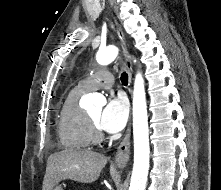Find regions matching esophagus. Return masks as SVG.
Returning <instances> with one entry per match:
<instances>
[{"label":"esophagus","instance_id":"1","mask_svg":"<svg viewBox=\"0 0 221 190\" xmlns=\"http://www.w3.org/2000/svg\"><path fill=\"white\" fill-rule=\"evenodd\" d=\"M117 33H118L119 39L121 41L123 53L126 57V66H127V70H128L129 85H130L132 83V64H131V61L128 57V51H127L124 33L122 31V28L118 24H117ZM130 92H131V88H130ZM130 135H131V124H129V126L127 128L126 135H125L124 139L122 140V142L120 143V145L118 146V149L116 151L114 162L118 168L125 167L129 161L130 144H131Z\"/></svg>","mask_w":221,"mask_h":190}]
</instances>
